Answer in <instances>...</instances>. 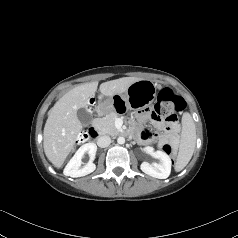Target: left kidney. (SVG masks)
Returning <instances> with one entry per match:
<instances>
[{
  "instance_id": "left-kidney-1",
  "label": "left kidney",
  "mask_w": 238,
  "mask_h": 238,
  "mask_svg": "<svg viewBox=\"0 0 238 238\" xmlns=\"http://www.w3.org/2000/svg\"><path fill=\"white\" fill-rule=\"evenodd\" d=\"M144 151L151 155L152 157L159 160L158 163L149 164L148 162H143L140 166L141 170L158 179H166L169 177L171 172V159L170 157L162 151H154V149L150 146L144 148Z\"/></svg>"
}]
</instances>
